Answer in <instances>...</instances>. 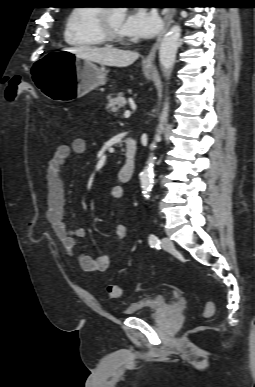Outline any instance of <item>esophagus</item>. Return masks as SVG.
I'll use <instances>...</instances> for the list:
<instances>
[{
	"label": "esophagus",
	"instance_id": "obj_1",
	"mask_svg": "<svg viewBox=\"0 0 255 387\" xmlns=\"http://www.w3.org/2000/svg\"><path fill=\"white\" fill-rule=\"evenodd\" d=\"M175 10L173 8H166L163 10L164 15V27L160 35L158 36L156 42L152 46L151 50L149 51L148 55L144 58L143 63L145 65H151L154 62L156 52L159 49L160 42L162 40L163 34L167 31L170 24L172 23V19L174 16Z\"/></svg>",
	"mask_w": 255,
	"mask_h": 387
}]
</instances>
